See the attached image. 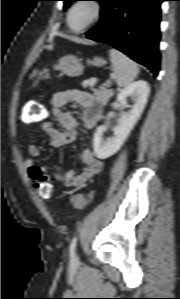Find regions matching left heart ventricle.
<instances>
[{"mask_svg":"<svg viewBox=\"0 0 180 299\" xmlns=\"http://www.w3.org/2000/svg\"><path fill=\"white\" fill-rule=\"evenodd\" d=\"M91 16L92 9L88 5H79L72 11L70 24L73 28H80L90 20Z\"/></svg>","mask_w":180,"mask_h":299,"instance_id":"1","label":"left heart ventricle"}]
</instances>
